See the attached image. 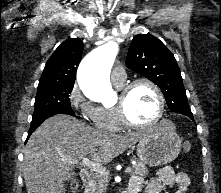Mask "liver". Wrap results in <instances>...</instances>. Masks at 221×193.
Masks as SVG:
<instances>
[{
    "mask_svg": "<svg viewBox=\"0 0 221 193\" xmlns=\"http://www.w3.org/2000/svg\"><path fill=\"white\" fill-rule=\"evenodd\" d=\"M175 129L172 122L167 121ZM151 130L114 134L95 130L69 115L45 120L24 149L23 176L27 193H65L64 182L75 164L86 156L106 164L139 142Z\"/></svg>",
    "mask_w": 221,
    "mask_h": 193,
    "instance_id": "liver-1",
    "label": "liver"
}]
</instances>
